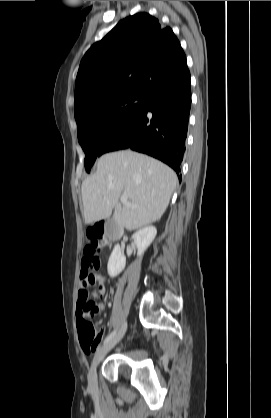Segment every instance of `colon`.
I'll use <instances>...</instances> for the list:
<instances>
[{
    "mask_svg": "<svg viewBox=\"0 0 271 418\" xmlns=\"http://www.w3.org/2000/svg\"><path fill=\"white\" fill-rule=\"evenodd\" d=\"M107 234L108 226L104 221L96 222L93 225H90L86 230V242L84 247L85 258L89 260L90 265L95 269L98 268V260L95 257V254L99 248L105 244ZM82 315L83 314H81V316ZM90 315L93 317L95 314ZM77 328L82 349L85 351L94 350L99 343L100 336L92 321L90 323H83L80 317Z\"/></svg>",
    "mask_w": 271,
    "mask_h": 418,
    "instance_id": "colon-1",
    "label": "colon"
}]
</instances>
